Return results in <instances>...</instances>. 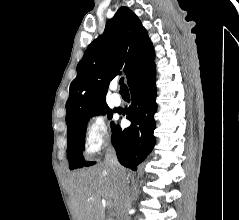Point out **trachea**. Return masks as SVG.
Returning <instances> with one entry per match:
<instances>
[{"mask_svg": "<svg viewBox=\"0 0 239 220\" xmlns=\"http://www.w3.org/2000/svg\"><path fill=\"white\" fill-rule=\"evenodd\" d=\"M119 84H120V90H128V87L127 85L124 83V78L122 77L120 80H119Z\"/></svg>", "mask_w": 239, "mask_h": 220, "instance_id": "3493384b", "label": "trachea"}]
</instances>
